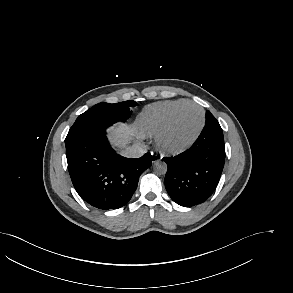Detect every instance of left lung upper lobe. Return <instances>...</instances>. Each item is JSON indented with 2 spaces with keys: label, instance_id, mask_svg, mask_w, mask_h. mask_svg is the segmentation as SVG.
Returning a JSON list of instances; mask_svg holds the SVG:
<instances>
[{
  "label": "left lung upper lobe",
  "instance_id": "5c2ea615",
  "mask_svg": "<svg viewBox=\"0 0 293 293\" xmlns=\"http://www.w3.org/2000/svg\"><path fill=\"white\" fill-rule=\"evenodd\" d=\"M210 120H214V121L218 122V121L215 119V117L211 114V112H210V111H207V112H206V123L209 122Z\"/></svg>",
  "mask_w": 293,
  "mask_h": 293
}]
</instances>
